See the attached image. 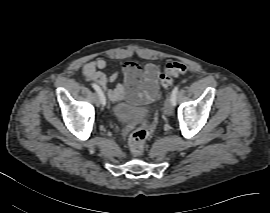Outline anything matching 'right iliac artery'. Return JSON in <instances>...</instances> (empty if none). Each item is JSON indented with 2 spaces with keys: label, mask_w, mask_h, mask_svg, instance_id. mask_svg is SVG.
Segmentation results:
<instances>
[{
  "label": "right iliac artery",
  "mask_w": 270,
  "mask_h": 213,
  "mask_svg": "<svg viewBox=\"0 0 270 213\" xmlns=\"http://www.w3.org/2000/svg\"><path fill=\"white\" fill-rule=\"evenodd\" d=\"M91 85H92V87L94 88V90L97 92V94H98V96H99V98H100V102H101L103 105H105V104H106V98H105V96H104V94H103L101 88H100L97 84H95V83H92Z\"/></svg>",
  "instance_id": "obj_1"
}]
</instances>
